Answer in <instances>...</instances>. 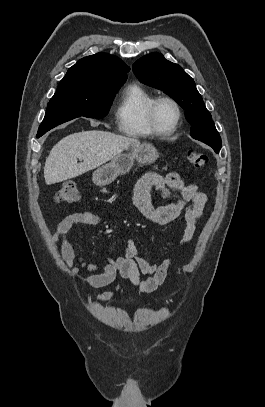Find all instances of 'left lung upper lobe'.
Returning <instances> with one entry per match:
<instances>
[{
  "label": "left lung upper lobe",
  "mask_w": 265,
  "mask_h": 407,
  "mask_svg": "<svg viewBox=\"0 0 265 407\" xmlns=\"http://www.w3.org/2000/svg\"><path fill=\"white\" fill-rule=\"evenodd\" d=\"M133 69L142 83L162 90L185 110L186 119L192 125V138L221 148L220 135L194 80L179 65L162 54L151 53L136 61Z\"/></svg>",
  "instance_id": "obj_1"
}]
</instances>
